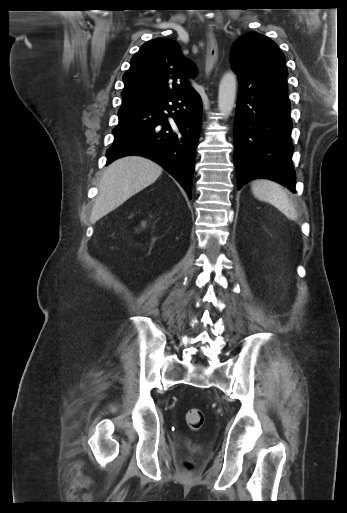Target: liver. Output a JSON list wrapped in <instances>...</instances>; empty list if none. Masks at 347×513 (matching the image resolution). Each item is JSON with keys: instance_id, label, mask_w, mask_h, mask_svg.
Here are the masks:
<instances>
[{"instance_id": "obj_1", "label": "liver", "mask_w": 347, "mask_h": 513, "mask_svg": "<svg viewBox=\"0 0 347 513\" xmlns=\"http://www.w3.org/2000/svg\"><path fill=\"white\" fill-rule=\"evenodd\" d=\"M162 170L161 166L141 156H126L112 162L100 181L99 195L91 214L92 223L153 184Z\"/></svg>"}]
</instances>
